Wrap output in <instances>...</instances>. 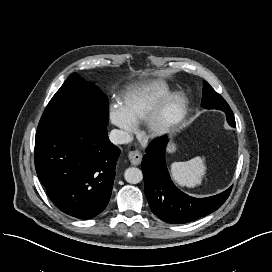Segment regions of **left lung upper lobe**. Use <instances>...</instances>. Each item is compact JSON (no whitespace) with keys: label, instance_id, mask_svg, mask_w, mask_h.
<instances>
[{"label":"left lung upper lobe","instance_id":"1","mask_svg":"<svg viewBox=\"0 0 272 272\" xmlns=\"http://www.w3.org/2000/svg\"><path fill=\"white\" fill-rule=\"evenodd\" d=\"M203 108L206 109H217V110H230L227 102L221 97L207 82H203V97L202 103ZM232 126H235V120Z\"/></svg>","mask_w":272,"mask_h":272}]
</instances>
